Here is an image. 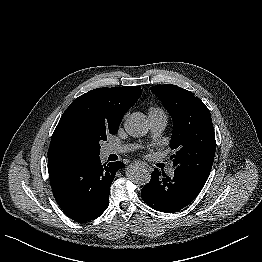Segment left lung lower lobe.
I'll use <instances>...</instances> for the list:
<instances>
[{
    "label": "left lung lower lobe",
    "mask_w": 262,
    "mask_h": 262,
    "mask_svg": "<svg viewBox=\"0 0 262 262\" xmlns=\"http://www.w3.org/2000/svg\"><path fill=\"white\" fill-rule=\"evenodd\" d=\"M207 178L179 169H175L169 177L155 169L150 182L142 188V199L157 211L174 213L197 197Z\"/></svg>",
    "instance_id": "obj_1"
}]
</instances>
